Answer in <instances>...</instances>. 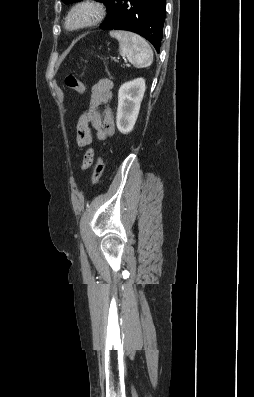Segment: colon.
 <instances>
[{
    "mask_svg": "<svg viewBox=\"0 0 254 397\" xmlns=\"http://www.w3.org/2000/svg\"><path fill=\"white\" fill-rule=\"evenodd\" d=\"M65 83L67 87L75 91L76 94L78 95L84 94L85 91L84 84L82 83V81L80 80L77 74H69L65 79ZM103 170H104V161L103 158L99 156L92 174V183L94 185L99 183Z\"/></svg>",
    "mask_w": 254,
    "mask_h": 397,
    "instance_id": "5ec220e1",
    "label": "colon"
}]
</instances>
